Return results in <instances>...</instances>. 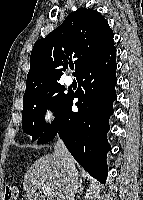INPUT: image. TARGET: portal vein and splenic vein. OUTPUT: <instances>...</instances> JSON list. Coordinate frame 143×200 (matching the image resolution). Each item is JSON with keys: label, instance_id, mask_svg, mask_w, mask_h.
<instances>
[{"label": "portal vein and splenic vein", "instance_id": "1", "mask_svg": "<svg viewBox=\"0 0 143 200\" xmlns=\"http://www.w3.org/2000/svg\"><path fill=\"white\" fill-rule=\"evenodd\" d=\"M42 191L45 195H50V191L46 187H42Z\"/></svg>", "mask_w": 143, "mask_h": 200}]
</instances>
